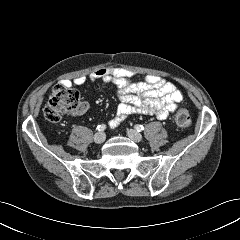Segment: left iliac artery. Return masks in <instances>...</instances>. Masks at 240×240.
<instances>
[{
    "label": "left iliac artery",
    "mask_w": 240,
    "mask_h": 240,
    "mask_svg": "<svg viewBox=\"0 0 240 240\" xmlns=\"http://www.w3.org/2000/svg\"><path fill=\"white\" fill-rule=\"evenodd\" d=\"M135 129L138 131V132H141V131H143L144 130V127H143V125H135Z\"/></svg>",
    "instance_id": "left-iliac-artery-1"
}]
</instances>
